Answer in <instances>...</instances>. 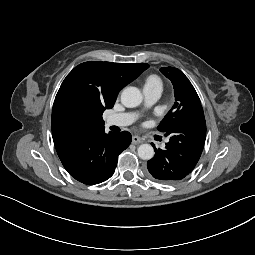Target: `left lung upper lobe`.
<instances>
[{
    "label": "left lung upper lobe",
    "instance_id": "obj_1",
    "mask_svg": "<svg viewBox=\"0 0 255 255\" xmlns=\"http://www.w3.org/2000/svg\"><path fill=\"white\" fill-rule=\"evenodd\" d=\"M160 71L171 80L175 103L157 129L167 133L173 127L203 113L200 99L189 79L177 68L163 67Z\"/></svg>",
    "mask_w": 255,
    "mask_h": 255
}]
</instances>
